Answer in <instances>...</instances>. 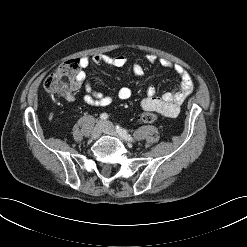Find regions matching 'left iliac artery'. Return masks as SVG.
Returning a JSON list of instances; mask_svg holds the SVG:
<instances>
[{
  "instance_id": "1",
  "label": "left iliac artery",
  "mask_w": 247,
  "mask_h": 247,
  "mask_svg": "<svg viewBox=\"0 0 247 247\" xmlns=\"http://www.w3.org/2000/svg\"><path fill=\"white\" fill-rule=\"evenodd\" d=\"M116 131L125 140L131 141V142L133 141V138L131 137V135H129L128 132L125 129L121 128L119 125H116Z\"/></svg>"
}]
</instances>
